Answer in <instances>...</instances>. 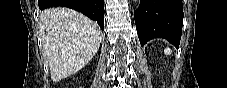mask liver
Here are the masks:
<instances>
[{
	"mask_svg": "<svg viewBox=\"0 0 227 88\" xmlns=\"http://www.w3.org/2000/svg\"><path fill=\"white\" fill-rule=\"evenodd\" d=\"M39 25L43 54L54 82L81 70L100 47L99 26L75 10L45 9L40 14Z\"/></svg>",
	"mask_w": 227,
	"mask_h": 88,
	"instance_id": "obj_1",
	"label": "liver"
}]
</instances>
